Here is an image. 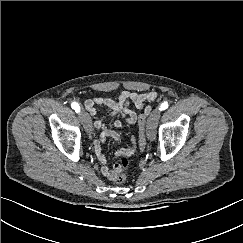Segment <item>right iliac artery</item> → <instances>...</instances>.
Wrapping results in <instances>:
<instances>
[{
	"instance_id": "1",
	"label": "right iliac artery",
	"mask_w": 243,
	"mask_h": 243,
	"mask_svg": "<svg viewBox=\"0 0 243 243\" xmlns=\"http://www.w3.org/2000/svg\"><path fill=\"white\" fill-rule=\"evenodd\" d=\"M71 107H72L77 113L80 112V106H79L78 103H76V102H72Z\"/></svg>"
}]
</instances>
